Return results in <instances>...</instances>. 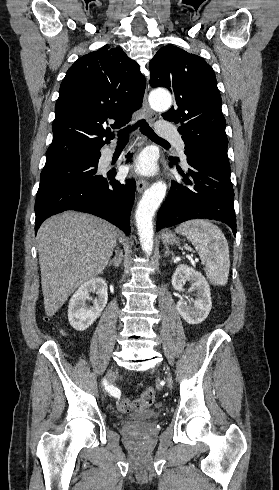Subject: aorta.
<instances>
[{
	"label": "aorta",
	"instance_id": "762f6f07",
	"mask_svg": "<svg viewBox=\"0 0 279 490\" xmlns=\"http://www.w3.org/2000/svg\"><path fill=\"white\" fill-rule=\"evenodd\" d=\"M149 103L155 111H167L172 104L169 92L153 91ZM167 185L163 182L154 183L144 192L136 210V227L143 251L151 255L154 245L153 216L166 195Z\"/></svg>",
	"mask_w": 279,
	"mask_h": 490
}]
</instances>
